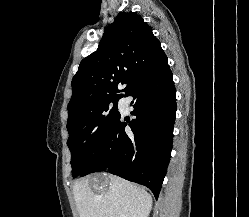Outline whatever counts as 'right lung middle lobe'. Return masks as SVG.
I'll use <instances>...</instances> for the list:
<instances>
[{
	"instance_id": "dd1d6c3e",
	"label": "right lung middle lobe",
	"mask_w": 249,
	"mask_h": 217,
	"mask_svg": "<svg viewBox=\"0 0 249 217\" xmlns=\"http://www.w3.org/2000/svg\"><path fill=\"white\" fill-rule=\"evenodd\" d=\"M118 98L94 102L69 116L67 145L71 151L73 177L79 176L93 153L120 117ZM113 103V107L110 105Z\"/></svg>"
}]
</instances>
